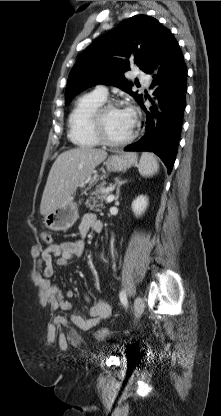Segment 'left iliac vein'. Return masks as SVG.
Returning <instances> with one entry per match:
<instances>
[{"instance_id": "obj_1", "label": "left iliac vein", "mask_w": 221, "mask_h": 416, "mask_svg": "<svg viewBox=\"0 0 221 416\" xmlns=\"http://www.w3.org/2000/svg\"><path fill=\"white\" fill-rule=\"evenodd\" d=\"M144 307L145 306H144V300H143V298L140 297V296H137L135 298V300H134V306H133V308H134V315H135V318L136 319H138L142 315V313L144 311Z\"/></svg>"}]
</instances>
